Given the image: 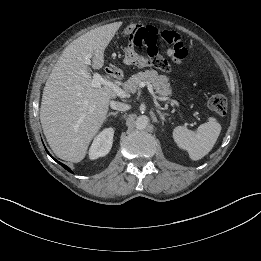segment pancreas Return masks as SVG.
Masks as SVG:
<instances>
[{
  "mask_svg": "<svg viewBox=\"0 0 261 261\" xmlns=\"http://www.w3.org/2000/svg\"><path fill=\"white\" fill-rule=\"evenodd\" d=\"M145 80L152 83L156 93L160 97L171 95V88L167 78L158 75L157 71L155 70H146L145 72H139L137 74L132 75L125 82L124 88L127 92L135 93L139 88V84Z\"/></svg>",
  "mask_w": 261,
  "mask_h": 261,
  "instance_id": "cf45deb5",
  "label": "pancreas"
}]
</instances>
